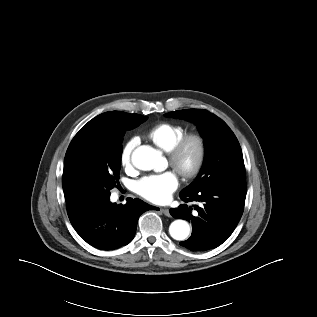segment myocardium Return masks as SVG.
<instances>
[{"label":"myocardium","mask_w":317,"mask_h":317,"mask_svg":"<svg viewBox=\"0 0 317 317\" xmlns=\"http://www.w3.org/2000/svg\"><path fill=\"white\" fill-rule=\"evenodd\" d=\"M194 148V157L190 162L185 160L187 150ZM207 152L205 137L199 132L185 133L168 152L170 164L185 178L195 177L201 170Z\"/></svg>","instance_id":"myocardium-1"}]
</instances>
